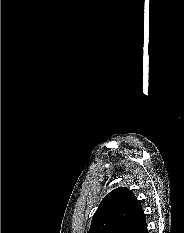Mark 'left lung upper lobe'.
Listing matches in <instances>:
<instances>
[{
  "label": "left lung upper lobe",
  "instance_id": "1",
  "mask_svg": "<svg viewBox=\"0 0 184 233\" xmlns=\"http://www.w3.org/2000/svg\"><path fill=\"white\" fill-rule=\"evenodd\" d=\"M146 217L141 203L131 190L111 191L93 215L89 233H145Z\"/></svg>",
  "mask_w": 184,
  "mask_h": 233
}]
</instances>
